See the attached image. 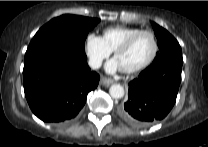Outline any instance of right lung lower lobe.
I'll return each instance as SVG.
<instances>
[{"mask_svg": "<svg viewBox=\"0 0 208 147\" xmlns=\"http://www.w3.org/2000/svg\"><path fill=\"white\" fill-rule=\"evenodd\" d=\"M23 81L27 102L38 118L66 123L85 105L99 75L88 67L83 47L57 38L28 47Z\"/></svg>", "mask_w": 208, "mask_h": 147, "instance_id": "obj_1", "label": "right lung lower lobe"}]
</instances>
